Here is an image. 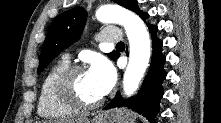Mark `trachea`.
I'll return each instance as SVG.
<instances>
[{
  "label": "trachea",
  "instance_id": "1",
  "mask_svg": "<svg viewBox=\"0 0 221 123\" xmlns=\"http://www.w3.org/2000/svg\"><path fill=\"white\" fill-rule=\"evenodd\" d=\"M116 46H117V47H124L125 44H124L123 42H119Z\"/></svg>",
  "mask_w": 221,
  "mask_h": 123
}]
</instances>
